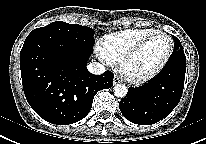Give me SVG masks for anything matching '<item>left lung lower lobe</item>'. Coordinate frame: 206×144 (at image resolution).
Listing matches in <instances>:
<instances>
[{
  "mask_svg": "<svg viewBox=\"0 0 206 144\" xmlns=\"http://www.w3.org/2000/svg\"><path fill=\"white\" fill-rule=\"evenodd\" d=\"M186 58L182 49L174 50L162 71L150 82L129 87L120 101L121 113L139 125H151L165 118L179 103L184 87Z\"/></svg>",
  "mask_w": 206,
  "mask_h": 144,
  "instance_id": "0a47b994",
  "label": "left lung lower lobe"
}]
</instances>
